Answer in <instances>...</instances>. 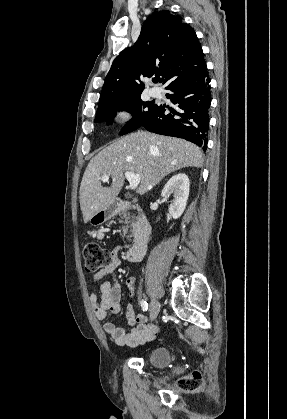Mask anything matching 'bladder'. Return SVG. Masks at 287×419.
<instances>
[{
  "mask_svg": "<svg viewBox=\"0 0 287 419\" xmlns=\"http://www.w3.org/2000/svg\"><path fill=\"white\" fill-rule=\"evenodd\" d=\"M148 360L156 366H166L171 361V355L167 348L156 347L150 351Z\"/></svg>",
  "mask_w": 287,
  "mask_h": 419,
  "instance_id": "obj_1",
  "label": "bladder"
}]
</instances>
